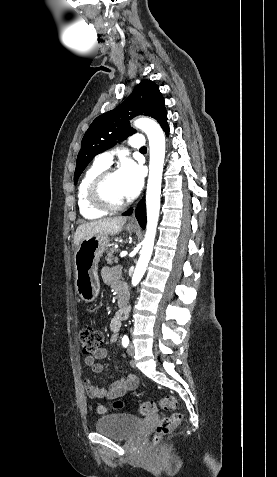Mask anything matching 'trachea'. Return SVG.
<instances>
[{"instance_id": "obj_1", "label": "trachea", "mask_w": 277, "mask_h": 477, "mask_svg": "<svg viewBox=\"0 0 277 477\" xmlns=\"http://www.w3.org/2000/svg\"><path fill=\"white\" fill-rule=\"evenodd\" d=\"M140 151H147V148H146V147H142V148H140Z\"/></svg>"}]
</instances>
